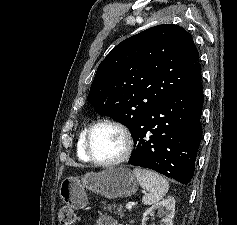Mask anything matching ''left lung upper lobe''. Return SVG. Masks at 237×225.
Masks as SVG:
<instances>
[{"mask_svg": "<svg viewBox=\"0 0 237 225\" xmlns=\"http://www.w3.org/2000/svg\"><path fill=\"white\" fill-rule=\"evenodd\" d=\"M199 53L182 27H151L119 43L100 63L88 102L132 131L163 99L201 82Z\"/></svg>", "mask_w": 237, "mask_h": 225, "instance_id": "obj_1", "label": "left lung upper lobe"}]
</instances>
